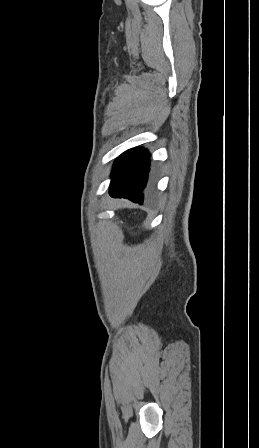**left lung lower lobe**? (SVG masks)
Returning a JSON list of instances; mask_svg holds the SVG:
<instances>
[{
	"label": "left lung lower lobe",
	"mask_w": 259,
	"mask_h": 448,
	"mask_svg": "<svg viewBox=\"0 0 259 448\" xmlns=\"http://www.w3.org/2000/svg\"><path fill=\"white\" fill-rule=\"evenodd\" d=\"M150 154L147 149L133 148L118 157L111 172L109 194L143 203V190L149 173Z\"/></svg>",
	"instance_id": "obj_1"
}]
</instances>
